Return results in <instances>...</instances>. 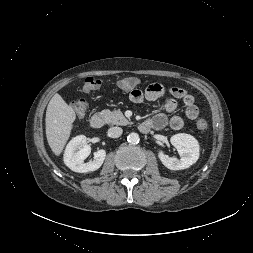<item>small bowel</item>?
I'll list each match as a JSON object with an SVG mask.
<instances>
[{"instance_id": "c3829d8e", "label": "small bowel", "mask_w": 253, "mask_h": 253, "mask_svg": "<svg viewBox=\"0 0 253 253\" xmlns=\"http://www.w3.org/2000/svg\"><path fill=\"white\" fill-rule=\"evenodd\" d=\"M167 94L170 96L167 97L164 102L165 112H174L177 108V100L180 99L185 105L184 117L174 115L168 119L164 113L157 114L152 119L148 120L151 123L152 128L160 130L169 124L173 130H179L184 125V119L194 120L198 116L199 109L195 104L194 97L181 88L165 87L159 83H152L144 91L140 89L132 90L129 97L132 102L141 103L144 100L150 102L155 101Z\"/></svg>"}]
</instances>
